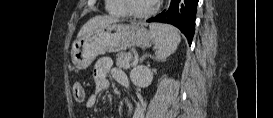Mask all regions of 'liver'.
Returning a JSON list of instances; mask_svg holds the SVG:
<instances>
[{"instance_id": "1", "label": "liver", "mask_w": 273, "mask_h": 118, "mask_svg": "<svg viewBox=\"0 0 273 118\" xmlns=\"http://www.w3.org/2000/svg\"><path fill=\"white\" fill-rule=\"evenodd\" d=\"M116 21L117 20L111 16H95L82 26L77 37L80 38L83 35L90 33L91 31H93L97 28L114 23Z\"/></svg>"}]
</instances>
